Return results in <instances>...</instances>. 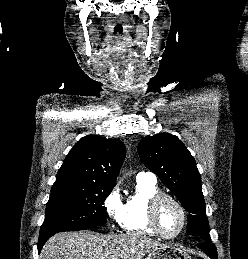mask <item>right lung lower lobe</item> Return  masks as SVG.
Returning <instances> with one entry per match:
<instances>
[{
    "mask_svg": "<svg viewBox=\"0 0 248 259\" xmlns=\"http://www.w3.org/2000/svg\"><path fill=\"white\" fill-rule=\"evenodd\" d=\"M52 235H54V233L46 234V235H40V236H39L38 252L41 251V249H42L43 245L45 244V242H46Z\"/></svg>",
    "mask_w": 248,
    "mask_h": 259,
    "instance_id": "98d812e1",
    "label": "right lung lower lobe"
}]
</instances>
